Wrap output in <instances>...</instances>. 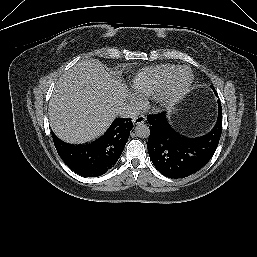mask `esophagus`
Returning <instances> with one entry per match:
<instances>
[{"instance_id":"obj_1","label":"esophagus","mask_w":257,"mask_h":257,"mask_svg":"<svg viewBox=\"0 0 257 257\" xmlns=\"http://www.w3.org/2000/svg\"><path fill=\"white\" fill-rule=\"evenodd\" d=\"M145 122V116L144 115H139V116H136L134 119H133V123L135 125H139V124H142Z\"/></svg>"}]
</instances>
